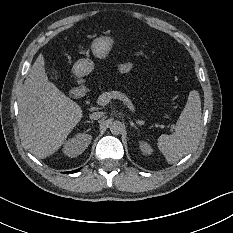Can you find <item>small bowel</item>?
<instances>
[{
    "label": "small bowel",
    "mask_w": 233,
    "mask_h": 233,
    "mask_svg": "<svg viewBox=\"0 0 233 233\" xmlns=\"http://www.w3.org/2000/svg\"><path fill=\"white\" fill-rule=\"evenodd\" d=\"M133 68V65L131 63H121L117 66V69L122 74L129 73Z\"/></svg>",
    "instance_id": "c3829d8e"
}]
</instances>
